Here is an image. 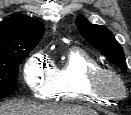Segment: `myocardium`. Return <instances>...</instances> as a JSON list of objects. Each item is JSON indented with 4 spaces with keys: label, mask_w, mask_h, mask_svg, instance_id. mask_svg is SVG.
Segmentation results:
<instances>
[{
    "label": "myocardium",
    "mask_w": 131,
    "mask_h": 115,
    "mask_svg": "<svg viewBox=\"0 0 131 115\" xmlns=\"http://www.w3.org/2000/svg\"><path fill=\"white\" fill-rule=\"evenodd\" d=\"M110 80L113 86H108L106 81ZM87 88L100 96L116 99L126 94V88L121 77L113 70L107 68H95L89 71L86 79Z\"/></svg>",
    "instance_id": "obj_1"
}]
</instances>
